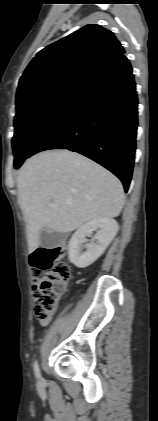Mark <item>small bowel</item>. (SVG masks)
I'll list each match as a JSON object with an SVG mask.
<instances>
[{"label":"small bowel","instance_id":"small-bowel-1","mask_svg":"<svg viewBox=\"0 0 158 421\" xmlns=\"http://www.w3.org/2000/svg\"><path fill=\"white\" fill-rule=\"evenodd\" d=\"M49 321H50V318L45 319V320H40V324H41L42 326H46V325L49 323Z\"/></svg>","mask_w":158,"mask_h":421}]
</instances>
